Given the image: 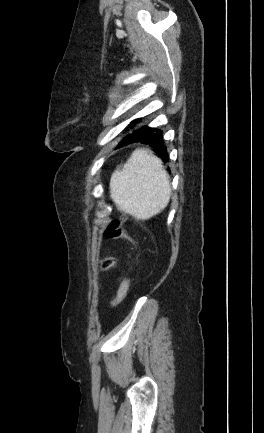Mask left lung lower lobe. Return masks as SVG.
I'll list each match as a JSON object with an SVG mask.
<instances>
[{
    "label": "left lung lower lobe",
    "instance_id": "obj_1",
    "mask_svg": "<svg viewBox=\"0 0 264 433\" xmlns=\"http://www.w3.org/2000/svg\"><path fill=\"white\" fill-rule=\"evenodd\" d=\"M139 121L140 119L132 121L129 127L132 128ZM133 142L148 144L154 149L156 155H158L163 161L168 159L167 148L163 144V135L159 129L150 128L147 125L137 128L126 140L119 143L118 148Z\"/></svg>",
    "mask_w": 264,
    "mask_h": 433
}]
</instances>
